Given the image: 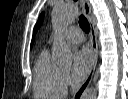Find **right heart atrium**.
<instances>
[{"instance_id":"1","label":"right heart atrium","mask_w":128,"mask_h":99,"mask_svg":"<svg viewBox=\"0 0 128 99\" xmlns=\"http://www.w3.org/2000/svg\"><path fill=\"white\" fill-rule=\"evenodd\" d=\"M63 79H64L66 86L70 84L71 79L67 73H63Z\"/></svg>"}]
</instances>
